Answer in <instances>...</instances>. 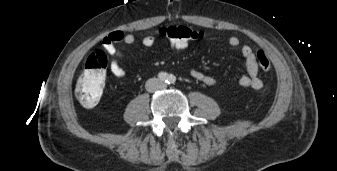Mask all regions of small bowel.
Instances as JSON below:
<instances>
[{
    "label": "small bowel",
    "instance_id": "obj_1",
    "mask_svg": "<svg viewBox=\"0 0 337 171\" xmlns=\"http://www.w3.org/2000/svg\"><path fill=\"white\" fill-rule=\"evenodd\" d=\"M135 41L136 38L133 34L122 31H112L102 39V47L112 57L109 63V71L114 77L122 78L126 75L125 69L120 64L122 53L117 48V44L124 43L132 45ZM155 43L156 39L152 35H146L141 40V44L146 48L154 46ZM228 44L231 47H237L240 45V40L237 37L232 36L228 39ZM241 55L245 61L246 74L241 76L239 84L245 88H251L254 90L261 89L263 87V82L258 76V63L254 50L249 45H243L241 47ZM190 76L194 80L201 82L206 86L216 85V80L212 76L199 69H191Z\"/></svg>",
    "mask_w": 337,
    "mask_h": 171
}]
</instances>
